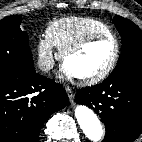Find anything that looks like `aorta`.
<instances>
[{
    "instance_id": "1",
    "label": "aorta",
    "mask_w": 142,
    "mask_h": 142,
    "mask_svg": "<svg viewBox=\"0 0 142 142\" xmlns=\"http://www.w3.org/2000/svg\"><path fill=\"white\" fill-rule=\"evenodd\" d=\"M75 117L86 137L99 142L103 138V128L97 115L88 106L80 104L75 108Z\"/></svg>"
}]
</instances>
